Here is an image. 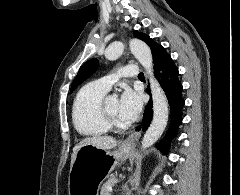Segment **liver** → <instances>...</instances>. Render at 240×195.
I'll use <instances>...</instances> for the list:
<instances>
[{
  "label": "liver",
  "mask_w": 240,
  "mask_h": 195,
  "mask_svg": "<svg viewBox=\"0 0 240 195\" xmlns=\"http://www.w3.org/2000/svg\"><path fill=\"white\" fill-rule=\"evenodd\" d=\"M86 143H92V145H97V147H101V149H113L116 147L118 141L111 137V135H94V137H85L82 139L80 143H76L75 147H73V153L71 155V167L75 161L76 153L82 145H86Z\"/></svg>",
  "instance_id": "obj_1"
}]
</instances>
